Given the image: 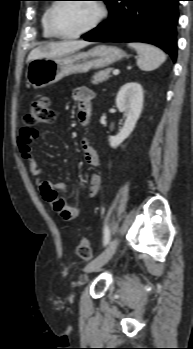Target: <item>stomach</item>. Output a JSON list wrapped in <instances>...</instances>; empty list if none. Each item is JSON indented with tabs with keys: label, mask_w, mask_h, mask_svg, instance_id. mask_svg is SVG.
<instances>
[{
	"label": "stomach",
	"mask_w": 193,
	"mask_h": 349,
	"mask_svg": "<svg viewBox=\"0 0 193 349\" xmlns=\"http://www.w3.org/2000/svg\"><path fill=\"white\" fill-rule=\"evenodd\" d=\"M125 56L126 53L118 47L98 45L87 52L34 59L28 64L26 77L33 87L43 88L70 74L86 73L90 69L107 67Z\"/></svg>",
	"instance_id": "obj_1"
}]
</instances>
